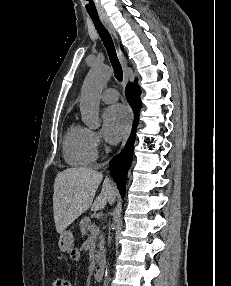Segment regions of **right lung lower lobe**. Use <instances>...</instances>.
I'll use <instances>...</instances> for the list:
<instances>
[{"instance_id": "right-lung-lower-lobe-1", "label": "right lung lower lobe", "mask_w": 231, "mask_h": 286, "mask_svg": "<svg viewBox=\"0 0 231 286\" xmlns=\"http://www.w3.org/2000/svg\"><path fill=\"white\" fill-rule=\"evenodd\" d=\"M140 90L139 87L135 84L129 83L126 87V97L132 106L134 113H135V122L134 126L132 128V133L128 139V142L121 152V154L117 157H114L110 161V170L111 173L117 183V187L121 193L122 196L125 194V181H126V175L127 171L129 169L132 154H133V144L135 140V132L137 127V120H138V114L140 109Z\"/></svg>"}]
</instances>
